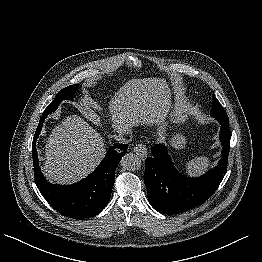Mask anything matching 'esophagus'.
<instances>
[{
    "label": "esophagus",
    "instance_id": "34e87169",
    "mask_svg": "<svg viewBox=\"0 0 262 262\" xmlns=\"http://www.w3.org/2000/svg\"><path fill=\"white\" fill-rule=\"evenodd\" d=\"M134 152L142 159L145 160L147 158V148L143 143L136 144L134 147Z\"/></svg>",
    "mask_w": 262,
    "mask_h": 262
}]
</instances>
